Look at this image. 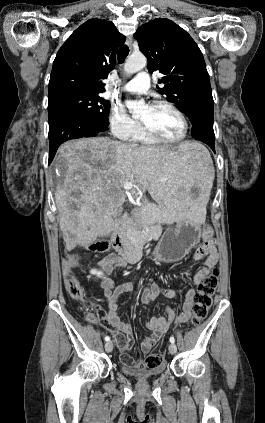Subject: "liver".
Returning a JSON list of instances; mask_svg holds the SVG:
<instances>
[{
	"mask_svg": "<svg viewBox=\"0 0 265 423\" xmlns=\"http://www.w3.org/2000/svg\"><path fill=\"white\" fill-rule=\"evenodd\" d=\"M197 143L166 146L127 145L107 137L72 140L58 150L55 168L62 178L55 191L60 229L69 250L85 246L118 229V209L132 182V193L146 190L157 203L142 214L151 221L172 224L185 217L200 223V209L189 188L204 180L202 163L189 160Z\"/></svg>",
	"mask_w": 265,
	"mask_h": 423,
	"instance_id": "liver-1",
	"label": "liver"
}]
</instances>
